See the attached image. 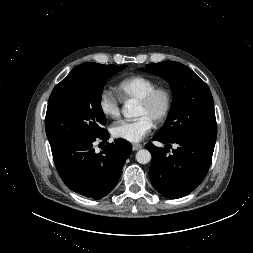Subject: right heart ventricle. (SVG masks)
<instances>
[{
    "label": "right heart ventricle",
    "instance_id": "right-heart-ventricle-1",
    "mask_svg": "<svg viewBox=\"0 0 253 253\" xmlns=\"http://www.w3.org/2000/svg\"><path fill=\"white\" fill-rule=\"evenodd\" d=\"M157 86L156 80L144 75H134L119 82L117 90L124 100H139Z\"/></svg>",
    "mask_w": 253,
    "mask_h": 253
}]
</instances>
